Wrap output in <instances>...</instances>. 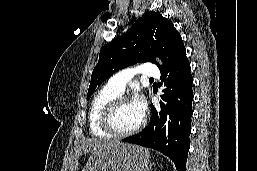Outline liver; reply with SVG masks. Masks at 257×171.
<instances>
[{"label": "liver", "mask_w": 257, "mask_h": 171, "mask_svg": "<svg viewBox=\"0 0 257 171\" xmlns=\"http://www.w3.org/2000/svg\"><path fill=\"white\" fill-rule=\"evenodd\" d=\"M116 143L115 141L99 140V139H85L81 142V145L75 149L74 154L69 157L68 171H77L78 158L82 153L94 152Z\"/></svg>", "instance_id": "6515ba94"}]
</instances>
